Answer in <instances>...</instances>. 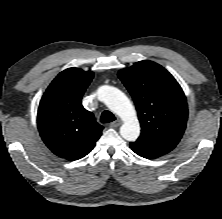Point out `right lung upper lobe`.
Here are the masks:
<instances>
[{"label": "right lung upper lobe", "instance_id": "obj_1", "mask_svg": "<svg viewBox=\"0 0 222 219\" xmlns=\"http://www.w3.org/2000/svg\"><path fill=\"white\" fill-rule=\"evenodd\" d=\"M93 72L68 68L57 75L39 105L37 125L42 140L57 156L70 161L86 156L103 127L82 106V96Z\"/></svg>", "mask_w": 222, "mask_h": 219}]
</instances>
